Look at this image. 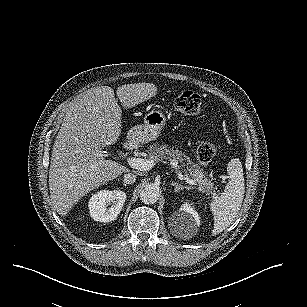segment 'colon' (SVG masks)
Listing matches in <instances>:
<instances>
[{
    "label": "colon",
    "mask_w": 307,
    "mask_h": 307,
    "mask_svg": "<svg viewBox=\"0 0 307 307\" xmlns=\"http://www.w3.org/2000/svg\"><path fill=\"white\" fill-rule=\"evenodd\" d=\"M174 105L181 113L195 115L201 112L202 100L196 92L185 90L176 97ZM217 151L216 143L202 142L197 148V158L202 164H208L216 157Z\"/></svg>",
    "instance_id": "colon-1"
}]
</instances>
